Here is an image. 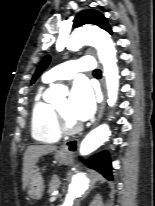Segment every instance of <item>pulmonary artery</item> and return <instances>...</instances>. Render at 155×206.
Instances as JSON below:
<instances>
[{
    "instance_id": "e3ab8cb5",
    "label": "pulmonary artery",
    "mask_w": 155,
    "mask_h": 206,
    "mask_svg": "<svg viewBox=\"0 0 155 206\" xmlns=\"http://www.w3.org/2000/svg\"><path fill=\"white\" fill-rule=\"evenodd\" d=\"M95 68V62L92 57H82L76 60L67 61L59 64L47 71L44 75V81L52 83L55 81L72 79L78 72L91 71Z\"/></svg>"
}]
</instances>
